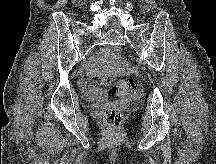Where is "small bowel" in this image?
I'll use <instances>...</instances> for the list:
<instances>
[{
    "label": "small bowel",
    "mask_w": 216,
    "mask_h": 164,
    "mask_svg": "<svg viewBox=\"0 0 216 164\" xmlns=\"http://www.w3.org/2000/svg\"><path fill=\"white\" fill-rule=\"evenodd\" d=\"M119 51L108 49L100 57L95 58L87 67V74L92 78L85 83L87 94L98 102H104L105 92L99 87L97 77L117 76L126 71L125 67L118 63ZM99 61V62H98Z\"/></svg>",
    "instance_id": "obj_1"
}]
</instances>
